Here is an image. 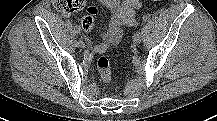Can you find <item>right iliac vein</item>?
<instances>
[{
	"mask_svg": "<svg viewBox=\"0 0 217 121\" xmlns=\"http://www.w3.org/2000/svg\"><path fill=\"white\" fill-rule=\"evenodd\" d=\"M77 44H78V46H79L80 48H85V46H86L85 43H84L83 41H81V40L78 41Z\"/></svg>",
	"mask_w": 217,
	"mask_h": 121,
	"instance_id": "1",
	"label": "right iliac vein"
}]
</instances>
